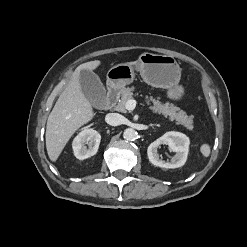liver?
Returning <instances> with one entry per match:
<instances>
[{
    "instance_id": "1",
    "label": "liver",
    "mask_w": 247,
    "mask_h": 247,
    "mask_svg": "<svg viewBox=\"0 0 247 247\" xmlns=\"http://www.w3.org/2000/svg\"><path fill=\"white\" fill-rule=\"evenodd\" d=\"M136 63L137 61L129 64ZM100 64L99 60L81 64L73 73L48 116L46 149L53 162L58 159L71 136L95 115L91 103L81 90L79 76L81 70L93 71Z\"/></svg>"
}]
</instances>
